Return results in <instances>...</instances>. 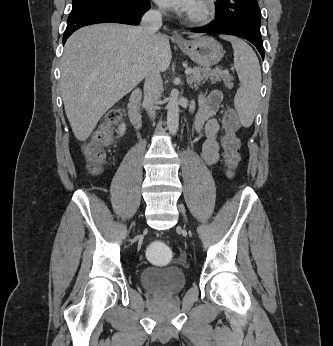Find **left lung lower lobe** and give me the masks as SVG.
Instances as JSON below:
<instances>
[{
    "label": "left lung lower lobe",
    "instance_id": "left-lung-lower-lobe-1",
    "mask_svg": "<svg viewBox=\"0 0 333 346\" xmlns=\"http://www.w3.org/2000/svg\"><path fill=\"white\" fill-rule=\"evenodd\" d=\"M192 32L210 33V34H227L244 38L251 42L264 59V47L260 31L237 21H216L212 25L194 28Z\"/></svg>",
    "mask_w": 333,
    "mask_h": 346
}]
</instances>
